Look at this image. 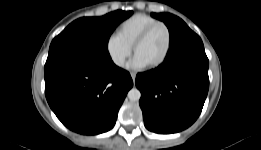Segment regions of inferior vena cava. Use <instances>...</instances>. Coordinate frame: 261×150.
<instances>
[{"mask_svg": "<svg viewBox=\"0 0 261 150\" xmlns=\"http://www.w3.org/2000/svg\"><path fill=\"white\" fill-rule=\"evenodd\" d=\"M117 64L120 65V66H122V65L124 64V61H123V60H119V61L117 62Z\"/></svg>", "mask_w": 261, "mask_h": 150, "instance_id": "obj_1", "label": "inferior vena cava"}]
</instances>
